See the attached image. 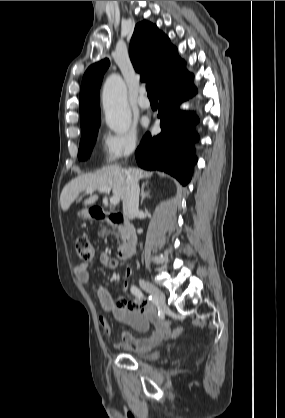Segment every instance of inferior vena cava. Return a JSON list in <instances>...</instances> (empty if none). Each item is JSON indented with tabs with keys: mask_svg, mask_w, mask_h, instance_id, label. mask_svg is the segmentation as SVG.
<instances>
[{
	"mask_svg": "<svg viewBox=\"0 0 285 418\" xmlns=\"http://www.w3.org/2000/svg\"><path fill=\"white\" fill-rule=\"evenodd\" d=\"M135 147L129 146L125 149L124 156L128 157ZM127 190L123 198V214L124 216L132 220L136 217L139 211V185L130 175H127Z\"/></svg>",
	"mask_w": 285,
	"mask_h": 418,
	"instance_id": "1",
	"label": "inferior vena cava"
}]
</instances>
